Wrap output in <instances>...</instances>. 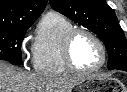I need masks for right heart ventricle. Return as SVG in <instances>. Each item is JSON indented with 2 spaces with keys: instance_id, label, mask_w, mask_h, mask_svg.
Masks as SVG:
<instances>
[{
  "instance_id": "obj_1",
  "label": "right heart ventricle",
  "mask_w": 127,
  "mask_h": 92,
  "mask_svg": "<svg viewBox=\"0 0 127 92\" xmlns=\"http://www.w3.org/2000/svg\"><path fill=\"white\" fill-rule=\"evenodd\" d=\"M72 28V23L59 13L48 12L43 16L33 47V67L37 73L53 76L69 72L63 61L62 44Z\"/></svg>"
}]
</instances>
